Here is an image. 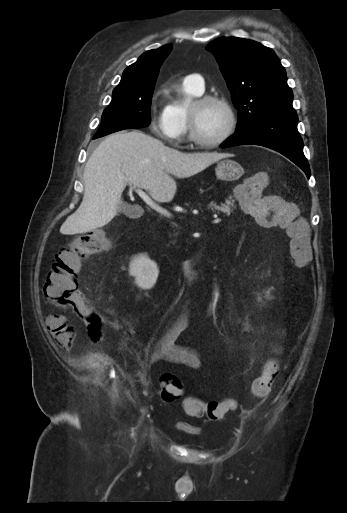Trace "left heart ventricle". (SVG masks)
Returning a JSON list of instances; mask_svg holds the SVG:
<instances>
[{"label": "left heart ventricle", "instance_id": "left-heart-ventricle-1", "mask_svg": "<svg viewBox=\"0 0 347 513\" xmlns=\"http://www.w3.org/2000/svg\"><path fill=\"white\" fill-rule=\"evenodd\" d=\"M192 115L199 136L205 140L218 138L228 124L226 110L219 104L208 103L195 106Z\"/></svg>", "mask_w": 347, "mask_h": 513}]
</instances>
